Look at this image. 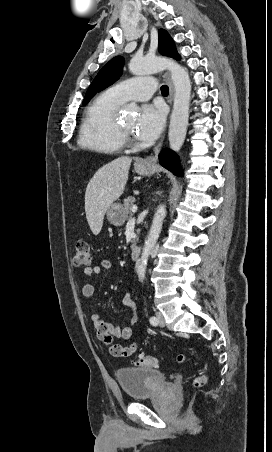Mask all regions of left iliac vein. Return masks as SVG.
Masks as SVG:
<instances>
[{
	"label": "left iliac vein",
	"instance_id": "obj_1",
	"mask_svg": "<svg viewBox=\"0 0 272 452\" xmlns=\"http://www.w3.org/2000/svg\"><path fill=\"white\" fill-rule=\"evenodd\" d=\"M156 317H157V320H158V325L161 326V327H164L165 326V319H164L162 313L161 312H157L156 313Z\"/></svg>",
	"mask_w": 272,
	"mask_h": 452
}]
</instances>
